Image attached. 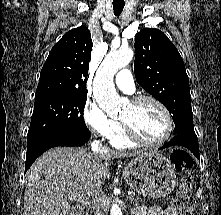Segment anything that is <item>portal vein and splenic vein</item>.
<instances>
[{"label": "portal vein and splenic vein", "instance_id": "18ae733b", "mask_svg": "<svg viewBox=\"0 0 221 215\" xmlns=\"http://www.w3.org/2000/svg\"><path fill=\"white\" fill-rule=\"evenodd\" d=\"M70 199L77 200V201L81 202L84 205L91 206L90 200L87 197H84L82 195L72 196V197H70ZM128 199L131 200V196H128Z\"/></svg>", "mask_w": 221, "mask_h": 215}]
</instances>
